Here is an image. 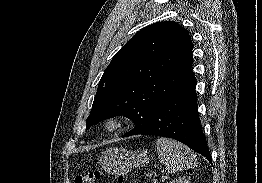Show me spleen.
Returning <instances> with one entry per match:
<instances>
[{
    "mask_svg": "<svg viewBox=\"0 0 262 183\" xmlns=\"http://www.w3.org/2000/svg\"><path fill=\"white\" fill-rule=\"evenodd\" d=\"M159 161L169 173L193 168L197 164L196 155L186 146L170 138L156 141Z\"/></svg>",
    "mask_w": 262,
    "mask_h": 183,
    "instance_id": "3e777b00",
    "label": "spleen"
}]
</instances>
